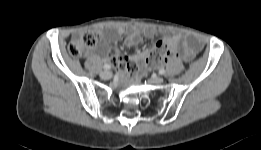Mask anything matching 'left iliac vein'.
Instances as JSON below:
<instances>
[{
	"instance_id": "obj_1",
	"label": "left iliac vein",
	"mask_w": 261,
	"mask_h": 150,
	"mask_svg": "<svg viewBox=\"0 0 261 150\" xmlns=\"http://www.w3.org/2000/svg\"><path fill=\"white\" fill-rule=\"evenodd\" d=\"M150 81L154 84H162L164 79L162 77L159 76H154L150 79Z\"/></svg>"
}]
</instances>
